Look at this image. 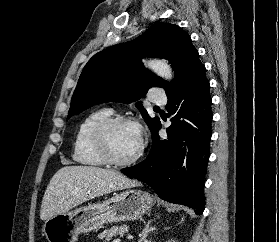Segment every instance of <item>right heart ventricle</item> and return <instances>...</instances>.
Returning a JSON list of instances; mask_svg holds the SVG:
<instances>
[{"instance_id": "right-heart-ventricle-1", "label": "right heart ventricle", "mask_w": 279, "mask_h": 242, "mask_svg": "<svg viewBox=\"0 0 279 242\" xmlns=\"http://www.w3.org/2000/svg\"><path fill=\"white\" fill-rule=\"evenodd\" d=\"M111 116V111L101 109L88 114L80 123L73 143V160L83 166L102 167L107 163L99 155L92 142V131L95 125L106 117Z\"/></svg>"}]
</instances>
